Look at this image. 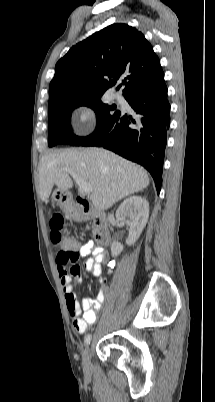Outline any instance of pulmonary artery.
Here are the masks:
<instances>
[{
    "label": "pulmonary artery",
    "mask_w": 215,
    "mask_h": 402,
    "mask_svg": "<svg viewBox=\"0 0 215 402\" xmlns=\"http://www.w3.org/2000/svg\"><path fill=\"white\" fill-rule=\"evenodd\" d=\"M117 99H121V96L119 94L116 95Z\"/></svg>",
    "instance_id": "pulmonary-artery-1"
}]
</instances>
